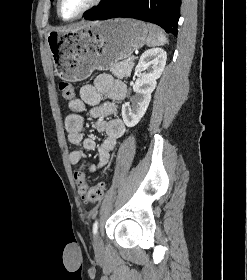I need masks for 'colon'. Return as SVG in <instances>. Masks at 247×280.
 I'll use <instances>...</instances> for the list:
<instances>
[{"label":"colon","instance_id":"1","mask_svg":"<svg viewBox=\"0 0 247 280\" xmlns=\"http://www.w3.org/2000/svg\"><path fill=\"white\" fill-rule=\"evenodd\" d=\"M59 89L65 101H72L74 98V88L70 83L61 82ZM75 179L78 183L79 193L84 200L97 201L103 196L105 190L104 182L101 181L93 186H88L85 182V175L81 170L75 173Z\"/></svg>","mask_w":247,"mask_h":280}]
</instances>
